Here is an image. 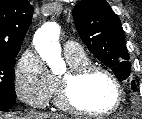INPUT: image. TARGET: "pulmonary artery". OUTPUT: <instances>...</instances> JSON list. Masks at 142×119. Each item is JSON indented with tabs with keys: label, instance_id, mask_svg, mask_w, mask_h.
Listing matches in <instances>:
<instances>
[{
	"label": "pulmonary artery",
	"instance_id": "pulmonary-artery-1",
	"mask_svg": "<svg viewBox=\"0 0 142 119\" xmlns=\"http://www.w3.org/2000/svg\"><path fill=\"white\" fill-rule=\"evenodd\" d=\"M63 46L65 55H77L82 52L81 47L74 41H66Z\"/></svg>",
	"mask_w": 142,
	"mask_h": 119
}]
</instances>
